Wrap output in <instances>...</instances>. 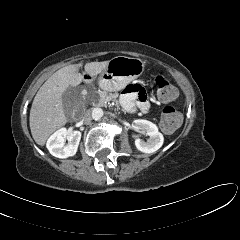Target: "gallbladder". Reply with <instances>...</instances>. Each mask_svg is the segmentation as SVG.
<instances>
[{
  "label": "gallbladder",
  "instance_id": "bac80fb5",
  "mask_svg": "<svg viewBox=\"0 0 240 240\" xmlns=\"http://www.w3.org/2000/svg\"><path fill=\"white\" fill-rule=\"evenodd\" d=\"M75 91V88L69 87L63 94L62 99L66 108H70L73 105L74 99L76 98Z\"/></svg>",
  "mask_w": 240,
  "mask_h": 240
}]
</instances>
